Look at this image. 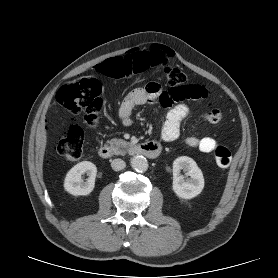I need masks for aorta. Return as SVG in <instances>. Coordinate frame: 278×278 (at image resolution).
Returning <instances> with one entry per match:
<instances>
[{
  "mask_svg": "<svg viewBox=\"0 0 278 278\" xmlns=\"http://www.w3.org/2000/svg\"><path fill=\"white\" fill-rule=\"evenodd\" d=\"M131 166L136 172L143 173L148 169V162L144 156L135 155L131 159Z\"/></svg>",
  "mask_w": 278,
  "mask_h": 278,
  "instance_id": "762f6f07",
  "label": "aorta"
}]
</instances>
